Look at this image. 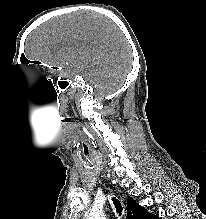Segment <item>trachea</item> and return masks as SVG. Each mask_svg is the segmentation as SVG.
I'll use <instances>...</instances> for the list:
<instances>
[{
    "mask_svg": "<svg viewBox=\"0 0 206 219\" xmlns=\"http://www.w3.org/2000/svg\"><path fill=\"white\" fill-rule=\"evenodd\" d=\"M113 200V203L115 205V208H116V212L121 215V212H122V207H121V204L119 202V200H117L116 198H112Z\"/></svg>",
    "mask_w": 206,
    "mask_h": 219,
    "instance_id": "3493384b",
    "label": "trachea"
}]
</instances>
